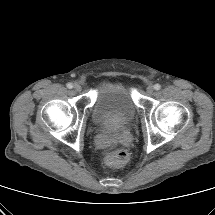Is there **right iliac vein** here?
Segmentation results:
<instances>
[{
  "mask_svg": "<svg viewBox=\"0 0 215 215\" xmlns=\"http://www.w3.org/2000/svg\"><path fill=\"white\" fill-rule=\"evenodd\" d=\"M81 89H82V87H81L79 84L76 83V84L74 85V90H75V91L80 92Z\"/></svg>",
  "mask_w": 215,
  "mask_h": 215,
  "instance_id": "obj_1",
  "label": "right iliac vein"
}]
</instances>
